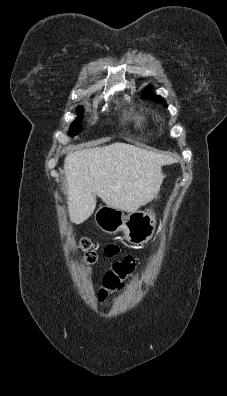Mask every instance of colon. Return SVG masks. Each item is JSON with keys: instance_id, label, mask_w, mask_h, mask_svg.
<instances>
[{"instance_id": "obj_1", "label": "colon", "mask_w": 227, "mask_h": 396, "mask_svg": "<svg viewBox=\"0 0 227 396\" xmlns=\"http://www.w3.org/2000/svg\"><path fill=\"white\" fill-rule=\"evenodd\" d=\"M80 250L82 251L84 264L87 268H90L96 262L97 254L88 239L81 240ZM138 266L136 259L131 256L115 262L103 276L102 287L98 293L99 300L105 301L113 292L119 290L123 286L124 281L138 269Z\"/></svg>"}]
</instances>
